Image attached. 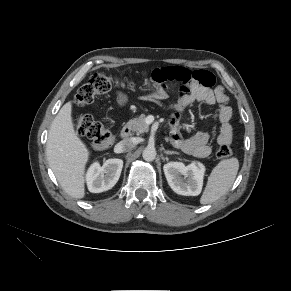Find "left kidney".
I'll return each instance as SVG.
<instances>
[{
    "instance_id": "left-kidney-1",
    "label": "left kidney",
    "mask_w": 291,
    "mask_h": 291,
    "mask_svg": "<svg viewBox=\"0 0 291 291\" xmlns=\"http://www.w3.org/2000/svg\"><path fill=\"white\" fill-rule=\"evenodd\" d=\"M163 170L175 193L184 196H197L201 193L205 172L202 164L193 162L185 166L181 162H169L163 166Z\"/></svg>"
}]
</instances>
